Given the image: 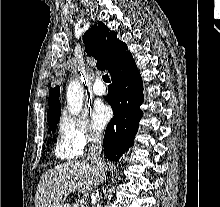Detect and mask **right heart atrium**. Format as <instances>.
<instances>
[{
    "label": "right heart atrium",
    "mask_w": 220,
    "mask_h": 207,
    "mask_svg": "<svg viewBox=\"0 0 220 207\" xmlns=\"http://www.w3.org/2000/svg\"><path fill=\"white\" fill-rule=\"evenodd\" d=\"M60 141L81 155L101 141V134L94 130L84 115H63L59 121Z\"/></svg>",
    "instance_id": "right-heart-atrium-1"
}]
</instances>
